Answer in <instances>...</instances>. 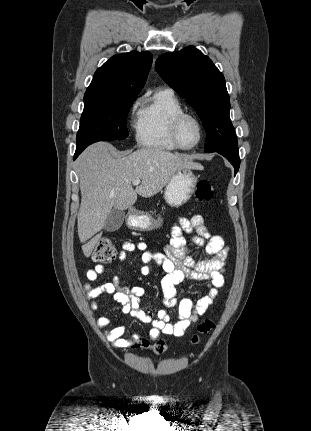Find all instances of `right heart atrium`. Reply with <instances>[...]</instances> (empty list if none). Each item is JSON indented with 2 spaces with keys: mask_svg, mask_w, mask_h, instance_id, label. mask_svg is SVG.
Here are the masks:
<instances>
[{
  "mask_svg": "<svg viewBox=\"0 0 311 431\" xmlns=\"http://www.w3.org/2000/svg\"><path fill=\"white\" fill-rule=\"evenodd\" d=\"M142 100H143L142 97L136 98L131 104L130 111L134 112L137 109V107L141 104Z\"/></svg>",
  "mask_w": 311,
  "mask_h": 431,
  "instance_id": "right-heart-atrium-1",
  "label": "right heart atrium"
}]
</instances>
